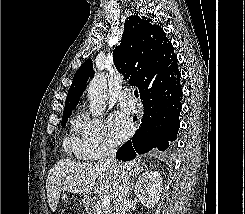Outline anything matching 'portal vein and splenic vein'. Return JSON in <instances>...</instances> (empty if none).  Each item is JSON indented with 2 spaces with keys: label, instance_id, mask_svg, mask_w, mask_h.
Instances as JSON below:
<instances>
[{
  "label": "portal vein and splenic vein",
  "instance_id": "portal-vein-and-splenic-vein-1",
  "mask_svg": "<svg viewBox=\"0 0 245 214\" xmlns=\"http://www.w3.org/2000/svg\"><path fill=\"white\" fill-rule=\"evenodd\" d=\"M110 203H111V199H110V197H108V196H104V197L101 198V200H100V204H101L103 207H109V206H110Z\"/></svg>",
  "mask_w": 245,
  "mask_h": 214
}]
</instances>
